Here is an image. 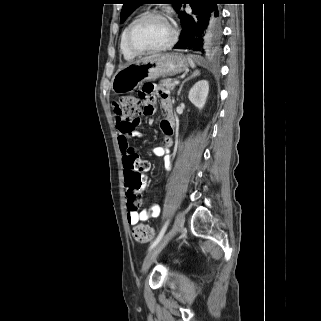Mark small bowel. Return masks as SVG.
I'll use <instances>...</instances> for the list:
<instances>
[{
  "label": "small bowel",
  "mask_w": 321,
  "mask_h": 321,
  "mask_svg": "<svg viewBox=\"0 0 321 321\" xmlns=\"http://www.w3.org/2000/svg\"><path fill=\"white\" fill-rule=\"evenodd\" d=\"M135 94L136 96H146L147 102H155L157 99L156 97H159L161 100L162 107L166 113L165 118L161 121V130L165 136V140L161 146H157L153 149V153L156 156L164 158L165 169L168 172L171 169L169 147L172 144L171 137L175 131V118L172 100L168 91L158 88L155 86L154 82H143L142 87L136 89ZM113 108L116 114L115 123L118 146L122 154V160L125 167L126 162L130 158L139 157L136 150L130 146V140L140 138L142 136L141 132L139 131L140 121L126 120L116 112V104H114ZM160 211L161 209L158 203H154L149 209H143L141 211L128 209L126 215L127 222L129 225H136L139 222H145L152 218L158 217L160 215Z\"/></svg>",
  "instance_id": "obj_1"
}]
</instances>
